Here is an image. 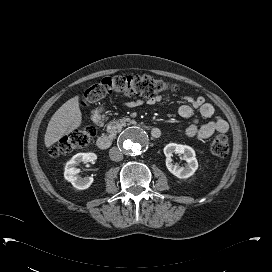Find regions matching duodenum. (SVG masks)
Listing matches in <instances>:
<instances>
[{"mask_svg":"<svg viewBox=\"0 0 272 272\" xmlns=\"http://www.w3.org/2000/svg\"><path fill=\"white\" fill-rule=\"evenodd\" d=\"M102 114H103V110L101 108H97L92 114L93 120L95 122H99L101 120ZM150 134L154 139H157L161 136V131L157 127H152L150 129ZM112 140L113 139L111 136L102 135V136L98 137V139L96 141V145L99 149L105 150L111 146Z\"/></svg>","mask_w":272,"mask_h":272,"instance_id":"obj_1","label":"duodenum"}]
</instances>
